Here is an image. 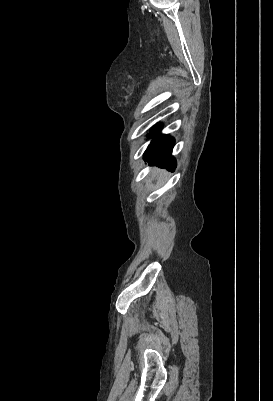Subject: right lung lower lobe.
<instances>
[{"label":"right lung lower lobe","instance_id":"98d812e1","mask_svg":"<svg viewBox=\"0 0 273 401\" xmlns=\"http://www.w3.org/2000/svg\"><path fill=\"white\" fill-rule=\"evenodd\" d=\"M161 128V124H158L149 134L150 137L155 136V138L145 151L144 158L145 161H148L149 163L156 162V165L173 171L176 167L175 159L171 155L174 146V139L169 135L159 134Z\"/></svg>","mask_w":273,"mask_h":401}]
</instances>
